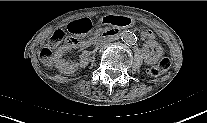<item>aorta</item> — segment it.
<instances>
[{"label": "aorta", "instance_id": "762f6f07", "mask_svg": "<svg viewBox=\"0 0 207 123\" xmlns=\"http://www.w3.org/2000/svg\"><path fill=\"white\" fill-rule=\"evenodd\" d=\"M136 35L133 32L126 31L122 35V40L127 45H133L136 42Z\"/></svg>", "mask_w": 207, "mask_h": 123}]
</instances>
